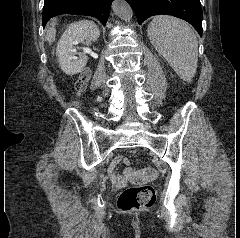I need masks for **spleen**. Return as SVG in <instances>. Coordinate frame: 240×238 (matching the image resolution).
Masks as SVG:
<instances>
[{
	"instance_id": "spleen-1",
	"label": "spleen",
	"mask_w": 240,
	"mask_h": 238,
	"mask_svg": "<svg viewBox=\"0 0 240 238\" xmlns=\"http://www.w3.org/2000/svg\"><path fill=\"white\" fill-rule=\"evenodd\" d=\"M147 32L154 48L177 75L184 81L191 80L198 63V41L191 27L180 19L159 15L150 22Z\"/></svg>"
}]
</instances>
